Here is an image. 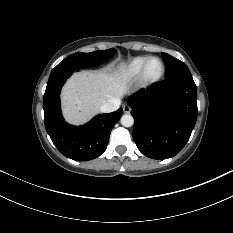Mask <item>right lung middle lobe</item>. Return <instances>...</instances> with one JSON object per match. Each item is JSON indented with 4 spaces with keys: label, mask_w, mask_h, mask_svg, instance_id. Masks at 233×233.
I'll use <instances>...</instances> for the list:
<instances>
[{
    "label": "right lung middle lobe",
    "mask_w": 233,
    "mask_h": 233,
    "mask_svg": "<svg viewBox=\"0 0 233 233\" xmlns=\"http://www.w3.org/2000/svg\"><path fill=\"white\" fill-rule=\"evenodd\" d=\"M115 52V49L94 51L91 53L77 52L61 61L52 72L93 67L108 60Z\"/></svg>",
    "instance_id": "right-lung-middle-lobe-1"
}]
</instances>
